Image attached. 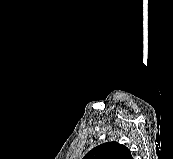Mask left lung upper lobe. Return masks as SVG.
<instances>
[{
  "label": "left lung upper lobe",
  "mask_w": 173,
  "mask_h": 159,
  "mask_svg": "<svg viewBox=\"0 0 173 159\" xmlns=\"http://www.w3.org/2000/svg\"><path fill=\"white\" fill-rule=\"evenodd\" d=\"M83 159H133L130 150L115 141L103 143L89 151Z\"/></svg>",
  "instance_id": "1"
}]
</instances>
